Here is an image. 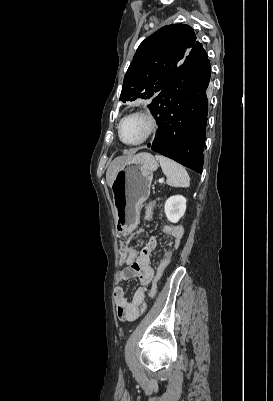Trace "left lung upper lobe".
<instances>
[{"label": "left lung upper lobe", "mask_w": 273, "mask_h": 401, "mask_svg": "<svg viewBox=\"0 0 273 401\" xmlns=\"http://www.w3.org/2000/svg\"><path fill=\"white\" fill-rule=\"evenodd\" d=\"M197 41L185 24L164 26L138 47L124 78L120 100L154 98L170 81Z\"/></svg>", "instance_id": "1"}]
</instances>
